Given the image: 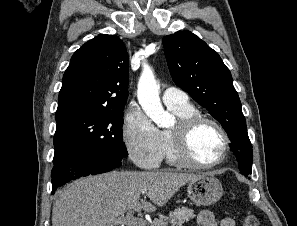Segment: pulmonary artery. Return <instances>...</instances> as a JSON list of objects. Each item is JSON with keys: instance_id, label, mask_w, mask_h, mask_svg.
<instances>
[{"instance_id": "obj_1", "label": "pulmonary artery", "mask_w": 297, "mask_h": 226, "mask_svg": "<svg viewBox=\"0 0 297 226\" xmlns=\"http://www.w3.org/2000/svg\"><path fill=\"white\" fill-rule=\"evenodd\" d=\"M162 100L166 106H189V97L186 92L176 87H169L163 91Z\"/></svg>"}]
</instances>
